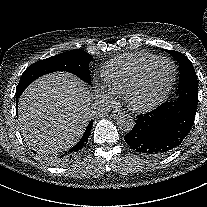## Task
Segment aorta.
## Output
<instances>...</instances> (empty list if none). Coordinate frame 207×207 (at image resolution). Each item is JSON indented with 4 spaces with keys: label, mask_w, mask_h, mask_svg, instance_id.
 Returning <instances> with one entry per match:
<instances>
[{
    "label": "aorta",
    "mask_w": 207,
    "mask_h": 207,
    "mask_svg": "<svg viewBox=\"0 0 207 207\" xmlns=\"http://www.w3.org/2000/svg\"><path fill=\"white\" fill-rule=\"evenodd\" d=\"M117 126L123 132H130L134 126L135 121L130 115L122 114L117 118Z\"/></svg>",
    "instance_id": "1"
}]
</instances>
